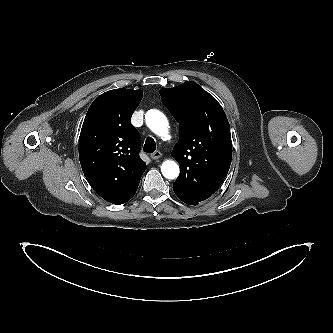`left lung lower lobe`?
<instances>
[{
  "mask_svg": "<svg viewBox=\"0 0 333 333\" xmlns=\"http://www.w3.org/2000/svg\"><path fill=\"white\" fill-rule=\"evenodd\" d=\"M175 194L186 204H189V205H196L199 203L198 200H196L195 198L187 195V194H184L183 192H180V191H177L175 189H173Z\"/></svg>",
  "mask_w": 333,
  "mask_h": 333,
  "instance_id": "obj_1",
  "label": "left lung lower lobe"
}]
</instances>
